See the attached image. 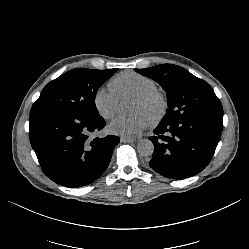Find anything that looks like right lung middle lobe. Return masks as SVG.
I'll return each instance as SVG.
<instances>
[{"label": "right lung middle lobe", "instance_id": "1", "mask_svg": "<svg viewBox=\"0 0 249 249\" xmlns=\"http://www.w3.org/2000/svg\"><path fill=\"white\" fill-rule=\"evenodd\" d=\"M116 70L76 68L64 73L44 87L30 115L66 111L81 116H100L94 102L97 90Z\"/></svg>", "mask_w": 249, "mask_h": 249}]
</instances>
